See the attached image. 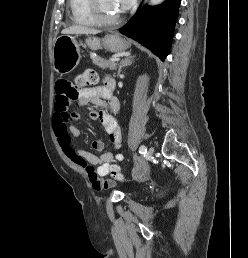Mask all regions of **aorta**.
<instances>
[{"label":"aorta","mask_w":248,"mask_h":258,"mask_svg":"<svg viewBox=\"0 0 248 258\" xmlns=\"http://www.w3.org/2000/svg\"><path fill=\"white\" fill-rule=\"evenodd\" d=\"M164 0H149L151 5H158L161 4Z\"/></svg>","instance_id":"aorta-1"}]
</instances>
